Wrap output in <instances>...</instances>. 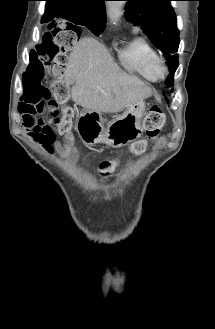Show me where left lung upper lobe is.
<instances>
[{
  "instance_id": "left-lung-upper-lobe-1",
  "label": "left lung upper lobe",
  "mask_w": 215,
  "mask_h": 329,
  "mask_svg": "<svg viewBox=\"0 0 215 329\" xmlns=\"http://www.w3.org/2000/svg\"><path fill=\"white\" fill-rule=\"evenodd\" d=\"M126 19L141 25L155 46L161 49L167 60L170 75L166 85H173V75L178 67L179 31L170 2L172 0H125Z\"/></svg>"
}]
</instances>
